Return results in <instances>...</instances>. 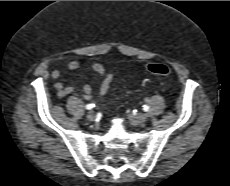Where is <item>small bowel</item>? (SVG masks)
Masks as SVG:
<instances>
[{"label":"small bowel","mask_w":230,"mask_h":186,"mask_svg":"<svg viewBox=\"0 0 230 186\" xmlns=\"http://www.w3.org/2000/svg\"><path fill=\"white\" fill-rule=\"evenodd\" d=\"M80 67H81V63L79 61H76V60L70 61L67 64V68L70 71L78 70ZM91 67H92L93 71L97 74V76L100 79H102V84L100 86L99 93H100V95H104L108 90L109 83H110V80H111V76L106 75L104 66L102 64L98 63V62L92 63ZM60 76H61V71L59 69H55L51 73V77L53 79H59ZM54 87L56 89L58 97H61V98L65 97V96H67V95H69V94H71V93H73L75 91V89L73 87L64 86L59 81H57L54 84ZM81 96L86 100L92 99V97H93V88H92V86L84 85L82 87V90H81Z\"/></svg>","instance_id":"obj_1"}]
</instances>
